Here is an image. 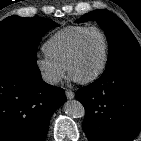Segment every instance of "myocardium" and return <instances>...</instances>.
Instances as JSON below:
<instances>
[{"label":"myocardium","instance_id":"f54148a6","mask_svg":"<svg viewBox=\"0 0 141 141\" xmlns=\"http://www.w3.org/2000/svg\"><path fill=\"white\" fill-rule=\"evenodd\" d=\"M91 31H96V32L100 33V35L102 36V38L104 40V58H103L101 66L93 75H91L90 77L85 78V79H75V81L80 84H90V83H93L94 81H96L98 78H100L102 76V74L104 73V71L107 67V64H108V60H109L110 44H109V39H108L106 33L101 28L96 27V26L87 27L77 37V39L73 45V48L70 52V55L67 59L66 69H67L68 74L71 76L72 63L74 62V60L76 59V57L79 54L81 44H82V41H83L85 35Z\"/></svg>","mask_w":141,"mask_h":141}]
</instances>
